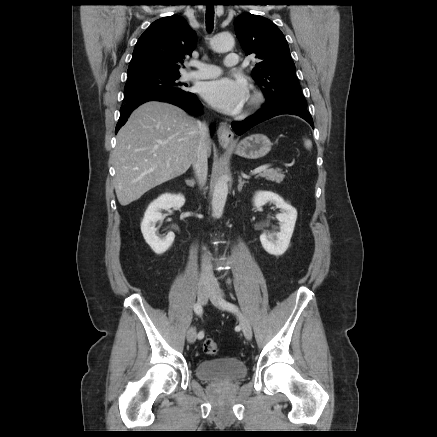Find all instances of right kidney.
<instances>
[{
  "instance_id": "obj_1",
  "label": "right kidney",
  "mask_w": 437,
  "mask_h": 437,
  "mask_svg": "<svg viewBox=\"0 0 437 437\" xmlns=\"http://www.w3.org/2000/svg\"><path fill=\"white\" fill-rule=\"evenodd\" d=\"M185 198L181 194H162L148 206L141 222V232L146 243L156 254H163L172 245L175 235L169 232L164 238L156 235V223L163 220L162 210L181 208Z\"/></svg>"
}]
</instances>
